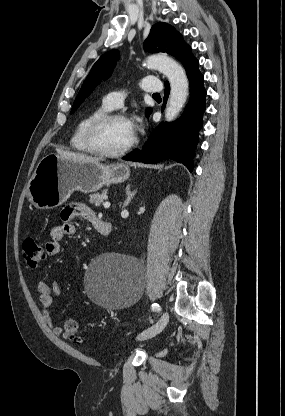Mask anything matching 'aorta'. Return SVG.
<instances>
[{
    "mask_svg": "<svg viewBox=\"0 0 285 416\" xmlns=\"http://www.w3.org/2000/svg\"><path fill=\"white\" fill-rule=\"evenodd\" d=\"M144 66L156 69L167 77L171 90L165 119L166 121L174 120L184 106L189 93V83L185 71L176 61L163 55L148 57Z\"/></svg>",
    "mask_w": 285,
    "mask_h": 416,
    "instance_id": "obj_1",
    "label": "aorta"
}]
</instances>
